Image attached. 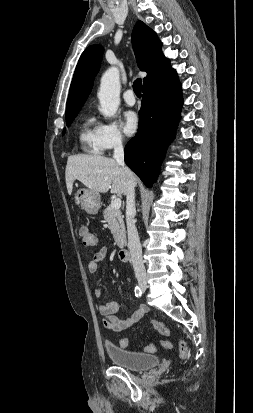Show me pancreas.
Here are the masks:
<instances>
[{"instance_id": "obj_1", "label": "pancreas", "mask_w": 253, "mask_h": 413, "mask_svg": "<svg viewBox=\"0 0 253 413\" xmlns=\"http://www.w3.org/2000/svg\"><path fill=\"white\" fill-rule=\"evenodd\" d=\"M105 221L108 223L109 228L113 234L115 243L118 247H123L126 243L125 240V225L122 212L119 209H115L113 205H109L103 212Z\"/></svg>"}]
</instances>
